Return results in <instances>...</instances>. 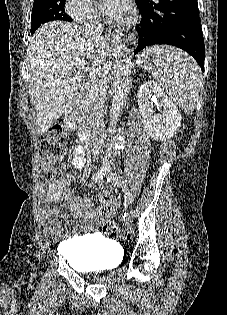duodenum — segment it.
Returning a JSON list of instances; mask_svg holds the SVG:
<instances>
[{
	"instance_id": "1",
	"label": "duodenum",
	"mask_w": 227,
	"mask_h": 315,
	"mask_svg": "<svg viewBox=\"0 0 227 315\" xmlns=\"http://www.w3.org/2000/svg\"><path fill=\"white\" fill-rule=\"evenodd\" d=\"M65 122L69 127L74 128L76 124V117H75V112L69 111L66 116H65ZM80 137L83 143L90 145L91 144V139L92 135L90 134L89 131H81Z\"/></svg>"
}]
</instances>
